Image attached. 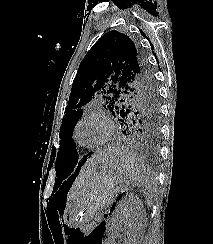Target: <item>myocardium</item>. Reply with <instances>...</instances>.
I'll list each match as a JSON object with an SVG mask.
<instances>
[{
  "mask_svg": "<svg viewBox=\"0 0 213 244\" xmlns=\"http://www.w3.org/2000/svg\"><path fill=\"white\" fill-rule=\"evenodd\" d=\"M89 119L100 120L105 126V135H104L103 139L101 141H99L98 143L92 144V145L81 142L79 139V136H78V131H79L80 126ZM113 132H114V124H113L111 117L106 112H104L102 110H98V111L88 112V113L84 114L77 121V123L75 124V127H74L73 136H74L75 141L80 146L85 147V148H97V147H101L104 144H106L112 137Z\"/></svg>",
  "mask_w": 213,
  "mask_h": 244,
  "instance_id": "obj_1",
  "label": "myocardium"
}]
</instances>
